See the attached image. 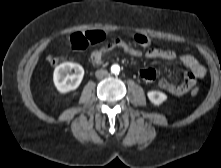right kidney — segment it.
<instances>
[{
	"label": "right kidney",
	"instance_id": "right-kidney-1",
	"mask_svg": "<svg viewBox=\"0 0 221 168\" xmlns=\"http://www.w3.org/2000/svg\"><path fill=\"white\" fill-rule=\"evenodd\" d=\"M83 76L84 69L81 65L64 62L55 68L53 82L60 93H67L78 88Z\"/></svg>",
	"mask_w": 221,
	"mask_h": 168
}]
</instances>
